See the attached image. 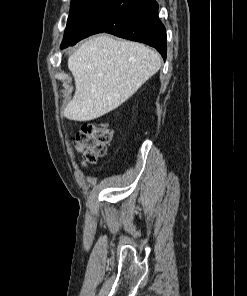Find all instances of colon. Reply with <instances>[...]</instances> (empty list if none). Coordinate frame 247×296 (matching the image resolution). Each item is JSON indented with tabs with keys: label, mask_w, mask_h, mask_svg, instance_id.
Returning a JSON list of instances; mask_svg holds the SVG:
<instances>
[{
	"label": "colon",
	"mask_w": 247,
	"mask_h": 296,
	"mask_svg": "<svg viewBox=\"0 0 247 296\" xmlns=\"http://www.w3.org/2000/svg\"><path fill=\"white\" fill-rule=\"evenodd\" d=\"M111 140L109 128L101 123L86 122L77 133L75 145L85 164H93L106 153Z\"/></svg>",
	"instance_id": "5ec220e1"
}]
</instances>
